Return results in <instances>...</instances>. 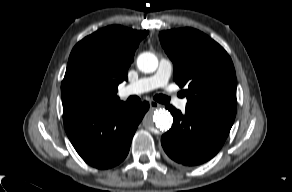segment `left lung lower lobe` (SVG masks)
<instances>
[{
    "mask_svg": "<svg viewBox=\"0 0 292 192\" xmlns=\"http://www.w3.org/2000/svg\"><path fill=\"white\" fill-rule=\"evenodd\" d=\"M166 108L173 116V126L161 138L166 154L177 164L195 166L214 157L225 142L233 121L185 113L172 105Z\"/></svg>",
    "mask_w": 292,
    "mask_h": 192,
    "instance_id": "1",
    "label": "left lung lower lobe"
}]
</instances>
